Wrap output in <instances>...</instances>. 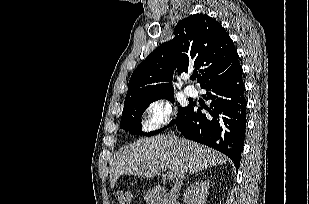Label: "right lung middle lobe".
<instances>
[{
  "label": "right lung middle lobe",
  "instance_id": "dd1d6c3e",
  "mask_svg": "<svg viewBox=\"0 0 309 204\" xmlns=\"http://www.w3.org/2000/svg\"><path fill=\"white\" fill-rule=\"evenodd\" d=\"M158 99H167L170 102H174V93H167L162 94L158 96H152V97H145V98H137L132 100H127L124 102V108L122 112L121 122H120V128L124 129L125 131L129 132L130 134H138L142 135L141 131V116L143 112L146 110V108L149 106L150 103L158 100ZM189 105L187 107H178V114L176 117V120H172L170 122L169 126H172L174 123L177 125L186 111L188 110ZM165 128L155 130L143 135H155L161 131H163Z\"/></svg>",
  "mask_w": 309,
  "mask_h": 204
}]
</instances>
